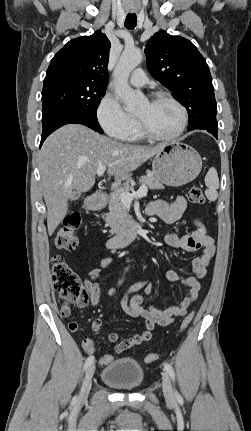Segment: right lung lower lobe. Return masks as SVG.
Masks as SVG:
<instances>
[{
  "mask_svg": "<svg viewBox=\"0 0 251 431\" xmlns=\"http://www.w3.org/2000/svg\"><path fill=\"white\" fill-rule=\"evenodd\" d=\"M71 123L82 124L93 129L96 132L103 133V130L101 129L97 118H92L79 112L62 110L42 118L43 132L41 136L40 147L43 144L44 140L53 131L63 125Z\"/></svg>",
  "mask_w": 251,
  "mask_h": 431,
  "instance_id": "right-lung-lower-lobe-1",
  "label": "right lung lower lobe"
}]
</instances>
